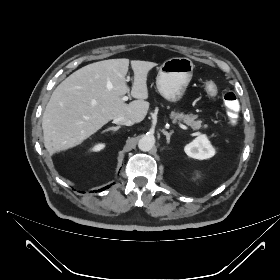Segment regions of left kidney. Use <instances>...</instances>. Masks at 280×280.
I'll return each instance as SVG.
<instances>
[{
	"mask_svg": "<svg viewBox=\"0 0 280 280\" xmlns=\"http://www.w3.org/2000/svg\"><path fill=\"white\" fill-rule=\"evenodd\" d=\"M185 153L194 159L204 160L215 155V149L205 135H200L184 147Z\"/></svg>",
	"mask_w": 280,
	"mask_h": 280,
	"instance_id": "1",
	"label": "left kidney"
}]
</instances>
